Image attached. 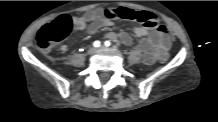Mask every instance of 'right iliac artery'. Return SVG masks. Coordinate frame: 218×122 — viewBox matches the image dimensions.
I'll list each match as a JSON object with an SVG mask.
<instances>
[{"mask_svg": "<svg viewBox=\"0 0 218 122\" xmlns=\"http://www.w3.org/2000/svg\"><path fill=\"white\" fill-rule=\"evenodd\" d=\"M93 46L96 47V48L99 47L100 46V41H95L93 43Z\"/></svg>", "mask_w": 218, "mask_h": 122, "instance_id": "obj_1", "label": "right iliac artery"}]
</instances>
